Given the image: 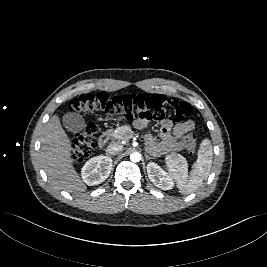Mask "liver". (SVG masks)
Segmentation results:
<instances>
[{"mask_svg": "<svg viewBox=\"0 0 267 267\" xmlns=\"http://www.w3.org/2000/svg\"><path fill=\"white\" fill-rule=\"evenodd\" d=\"M71 141L61 126L58 115H53L43 130L39 157L49 181L69 193H82L87 187L73 167Z\"/></svg>", "mask_w": 267, "mask_h": 267, "instance_id": "obj_1", "label": "liver"}]
</instances>
